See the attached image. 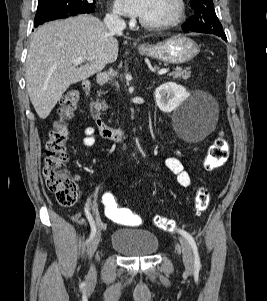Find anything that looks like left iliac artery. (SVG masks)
<instances>
[{"label": "left iliac artery", "instance_id": "left-iliac-artery-1", "mask_svg": "<svg viewBox=\"0 0 267 301\" xmlns=\"http://www.w3.org/2000/svg\"><path fill=\"white\" fill-rule=\"evenodd\" d=\"M178 232L180 234H182L188 240V242L191 245V248L193 250L194 266H195V268H200L201 267L200 257H199L198 248H197L195 239L193 238V236L190 233H188L187 231H185L183 229H178Z\"/></svg>", "mask_w": 267, "mask_h": 301}]
</instances>
